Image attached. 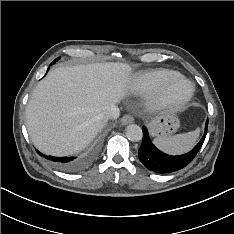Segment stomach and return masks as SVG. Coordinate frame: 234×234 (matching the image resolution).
Instances as JSON below:
<instances>
[{
  "instance_id": "1",
  "label": "stomach",
  "mask_w": 234,
  "mask_h": 234,
  "mask_svg": "<svg viewBox=\"0 0 234 234\" xmlns=\"http://www.w3.org/2000/svg\"><path fill=\"white\" fill-rule=\"evenodd\" d=\"M180 127L178 116L172 112L162 113L154 117L149 123L148 128L152 136L167 137L175 133Z\"/></svg>"
}]
</instances>
